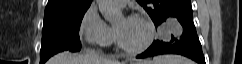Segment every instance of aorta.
Segmentation results:
<instances>
[{
	"label": "aorta",
	"mask_w": 242,
	"mask_h": 64,
	"mask_svg": "<svg viewBox=\"0 0 242 64\" xmlns=\"http://www.w3.org/2000/svg\"><path fill=\"white\" fill-rule=\"evenodd\" d=\"M96 2L106 21L114 22L122 16V12L116 7L113 0H96Z\"/></svg>",
	"instance_id": "762f6f07"
}]
</instances>
